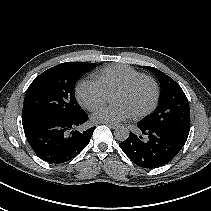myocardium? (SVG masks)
I'll use <instances>...</instances> for the list:
<instances>
[{
	"mask_svg": "<svg viewBox=\"0 0 211 211\" xmlns=\"http://www.w3.org/2000/svg\"><path fill=\"white\" fill-rule=\"evenodd\" d=\"M143 81H147V82L151 83V85L153 86L154 95H153L152 102L150 103V105L147 108L133 113V115L137 118L149 115L157 107L158 101H159V96H160V89H159V85H158L157 81L151 76L142 75V76L136 77V78L126 82L125 84L119 86L115 90V91H129Z\"/></svg>",
	"mask_w": 211,
	"mask_h": 211,
	"instance_id": "obj_1",
	"label": "myocardium"
}]
</instances>
